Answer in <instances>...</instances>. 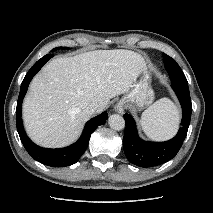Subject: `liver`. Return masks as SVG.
<instances>
[{"label": "liver", "instance_id": "obj_1", "mask_svg": "<svg viewBox=\"0 0 213 213\" xmlns=\"http://www.w3.org/2000/svg\"><path fill=\"white\" fill-rule=\"evenodd\" d=\"M144 59L129 50H95L46 64L32 80L23 103V120L37 144L58 148L80 135L97 103L100 111L111 98L127 93L144 69Z\"/></svg>", "mask_w": 213, "mask_h": 213}]
</instances>
